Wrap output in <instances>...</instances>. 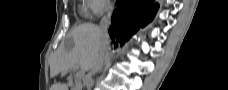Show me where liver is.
I'll use <instances>...</instances> for the list:
<instances>
[{
	"mask_svg": "<svg viewBox=\"0 0 228 90\" xmlns=\"http://www.w3.org/2000/svg\"><path fill=\"white\" fill-rule=\"evenodd\" d=\"M70 36L74 47L66 51L64 46H60L54 53L50 62L51 77L59 73L64 75L74 67H79L83 72L88 71L96 62L101 48L99 27L92 23H83L74 28ZM50 90H68V85L54 83Z\"/></svg>",
	"mask_w": 228,
	"mask_h": 90,
	"instance_id": "6515ba94",
	"label": "liver"
}]
</instances>
